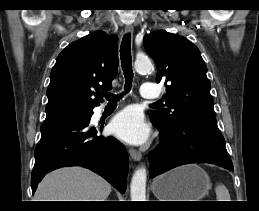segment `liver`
Wrapping results in <instances>:
<instances>
[{
    "mask_svg": "<svg viewBox=\"0 0 259 211\" xmlns=\"http://www.w3.org/2000/svg\"><path fill=\"white\" fill-rule=\"evenodd\" d=\"M111 185L82 167H67L47 174L36 190L34 201H106Z\"/></svg>",
    "mask_w": 259,
    "mask_h": 211,
    "instance_id": "1",
    "label": "liver"
}]
</instances>
